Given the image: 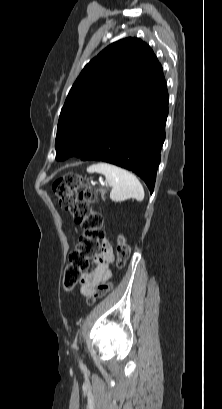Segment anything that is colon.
<instances>
[{"label": "colon", "mask_w": 222, "mask_h": 409, "mask_svg": "<svg viewBox=\"0 0 222 409\" xmlns=\"http://www.w3.org/2000/svg\"><path fill=\"white\" fill-rule=\"evenodd\" d=\"M52 188L59 205L69 211L83 228V233L76 248L70 253L69 263L64 271V287L72 289L81 281L83 272L88 268L90 261L96 256L100 257L98 251L103 237V219L100 213L92 209L98 200V192L88 179L75 172H68L57 178ZM116 255L115 266L121 269L130 256V246L121 235L117 237ZM111 288V283L99 287L88 296V303L93 304L97 298L103 297Z\"/></svg>", "instance_id": "obj_1"}]
</instances>
